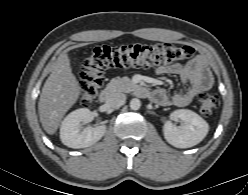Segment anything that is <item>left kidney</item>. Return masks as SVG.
<instances>
[{
    "label": "left kidney",
    "instance_id": "left-kidney-1",
    "mask_svg": "<svg viewBox=\"0 0 248 195\" xmlns=\"http://www.w3.org/2000/svg\"><path fill=\"white\" fill-rule=\"evenodd\" d=\"M170 119L182 121L177 127L171 121L163 126L164 138L176 148H189L200 143L209 131L208 123L197 113L188 109H178L171 113Z\"/></svg>",
    "mask_w": 248,
    "mask_h": 195
}]
</instances>
